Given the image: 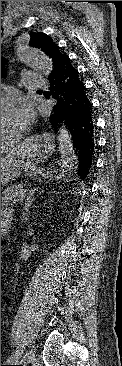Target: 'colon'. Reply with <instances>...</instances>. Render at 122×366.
I'll use <instances>...</instances> for the list:
<instances>
[{
    "label": "colon",
    "instance_id": "1",
    "mask_svg": "<svg viewBox=\"0 0 122 366\" xmlns=\"http://www.w3.org/2000/svg\"><path fill=\"white\" fill-rule=\"evenodd\" d=\"M5 226H6V223H4V225H2V222H1V231L4 229Z\"/></svg>",
    "mask_w": 122,
    "mask_h": 366
}]
</instances>
